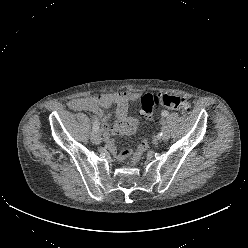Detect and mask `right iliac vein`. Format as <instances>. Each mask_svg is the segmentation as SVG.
<instances>
[{
  "mask_svg": "<svg viewBox=\"0 0 248 248\" xmlns=\"http://www.w3.org/2000/svg\"><path fill=\"white\" fill-rule=\"evenodd\" d=\"M91 140L95 144H100L101 143V136L98 131H93L91 133Z\"/></svg>",
  "mask_w": 248,
  "mask_h": 248,
  "instance_id": "right-iliac-vein-1",
  "label": "right iliac vein"
}]
</instances>
